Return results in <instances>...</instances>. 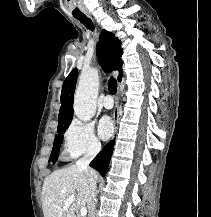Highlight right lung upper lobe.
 I'll list each match as a JSON object with an SVG mask.
<instances>
[{
	"label": "right lung upper lobe",
	"mask_w": 211,
	"mask_h": 217,
	"mask_svg": "<svg viewBox=\"0 0 211 217\" xmlns=\"http://www.w3.org/2000/svg\"><path fill=\"white\" fill-rule=\"evenodd\" d=\"M121 42L111 32L103 30L100 36V43L97 46V54L99 62L106 72L118 70V81L122 79V65L121 60L122 49ZM78 77L77 69H73L68 77L65 79L61 91V108L59 111V124L57 130L63 126L70 124L73 116V98Z\"/></svg>",
	"instance_id": "1"
}]
</instances>
